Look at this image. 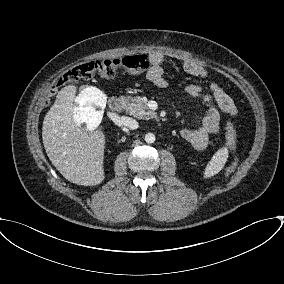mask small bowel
Wrapping results in <instances>:
<instances>
[{
    "instance_id": "small-bowel-1",
    "label": "small bowel",
    "mask_w": 284,
    "mask_h": 284,
    "mask_svg": "<svg viewBox=\"0 0 284 284\" xmlns=\"http://www.w3.org/2000/svg\"><path fill=\"white\" fill-rule=\"evenodd\" d=\"M149 57L152 66L147 73V80L158 88H165L167 81L164 78V69L168 60L167 55L161 51H153ZM182 66L184 71L191 76L202 79L208 76L207 69L199 62L184 60ZM186 93L205 105V113L200 127L186 128L182 130L181 136L194 149L203 151L208 146L210 136L221 131L220 112L235 117L237 109L232 98L217 83H211L207 90L199 85L191 84L187 86Z\"/></svg>"
}]
</instances>
